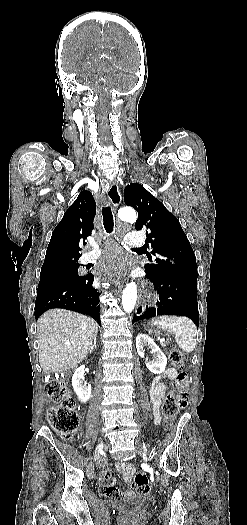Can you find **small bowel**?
Listing matches in <instances>:
<instances>
[{"instance_id":"1","label":"small bowel","mask_w":247,"mask_h":525,"mask_svg":"<svg viewBox=\"0 0 247 525\" xmlns=\"http://www.w3.org/2000/svg\"><path fill=\"white\" fill-rule=\"evenodd\" d=\"M178 371L175 368H168L166 369L163 374L156 378L152 390H151V400L154 406V411L156 414L159 415L160 405L161 401L164 397L166 387L164 383L162 382L163 379H176L178 376ZM116 468H112L110 470V473H107L105 476L103 474H100L98 476L96 485L97 490H100V488H103L101 490V495L103 497H112V502L114 504H123L125 502L126 498H132L134 493L132 491H125L123 493H117L119 491L118 482L114 479V475H116L118 472L122 475L124 481L126 483H129L131 480V476L135 472V468L132 464L126 463L124 461L118 460L115 463Z\"/></svg>"}]
</instances>
